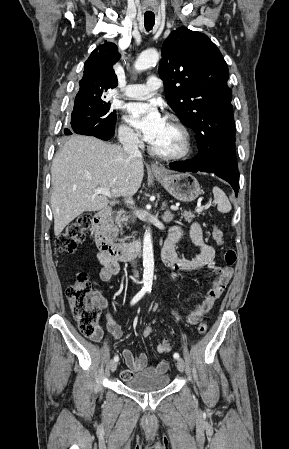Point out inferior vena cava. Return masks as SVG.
<instances>
[{"mask_svg":"<svg viewBox=\"0 0 289 449\" xmlns=\"http://www.w3.org/2000/svg\"><path fill=\"white\" fill-rule=\"evenodd\" d=\"M123 145V150L131 157L136 159H141L142 155L140 150L138 149V143L136 138L133 135H128L127 137L121 140ZM127 204H133V199L131 196L126 198ZM132 265L135 267L136 262H132ZM137 278H139V273L137 270H134V277H132L135 283H138Z\"/></svg>","mask_w":289,"mask_h":449,"instance_id":"inferior-vena-cava-1","label":"inferior vena cava"}]
</instances>
